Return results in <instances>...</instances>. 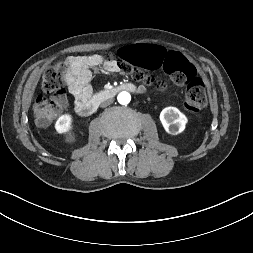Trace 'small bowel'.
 <instances>
[{"mask_svg": "<svg viewBox=\"0 0 253 253\" xmlns=\"http://www.w3.org/2000/svg\"><path fill=\"white\" fill-rule=\"evenodd\" d=\"M67 64L66 83L76 104L91 98L93 94L90 85L93 69L102 67L108 73L120 71L117 61H106L98 54L70 56L67 59ZM137 89L139 92L145 91L141 85H138Z\"/></svg>", "mask_w": 253, "mask_h": 253, "instance_id": "obj_1", "label": "small bowel"}]
</instances>
